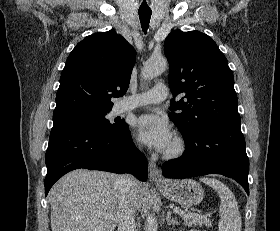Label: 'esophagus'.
I'll use <instances>...</instances> for the list:
<instances>
[{
    "mask_svg": "<svg viewBox=\"0 0 280 231\" xmlns=\"http://www.w3.org/2000/svg\"><path fill=\"white\" fill-rule=\"evenodd\" d=\"M149 177L153 181H162L163 177L160 174L159 168L157 167L156 163L152 160H149Z\"/></svg>",
    "mask_w": 280,
    "mask_h": 231,
    "instance_id": "1",
    "label": "esophagus"
}]
</instances>
